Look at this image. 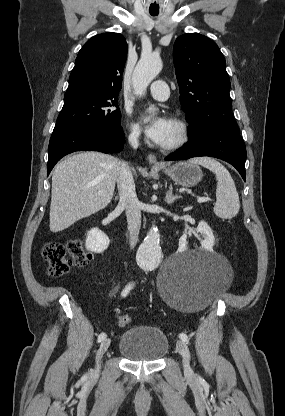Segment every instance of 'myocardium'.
I'll return each instance as SVG.
<instances>
[{
    "instance_id": "f54148a6",
    "label": "myocardium",
    "mask_w": 285,
    "mask_h": 416,
    "mask_svg": "<svg viewBox=\"0 0 285 416\" xmlns=\"http://www.w3.org/2000/svg\"><path fill=\"white\" fill-rule=\"evenodd\" d=\"M171 124L175 129V138L172 142L162 145L164 151H175L183 147L188 141V129L184 122L179 119H172Z\"/></svg>"
}]
</instances>
